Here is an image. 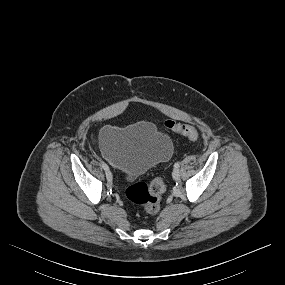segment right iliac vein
Segmentation results:
<instances>
[{
    "instance_id": "right-iliac-vein-1",
    "label": "right iliac vein",
    "mask_w": 285,
    "mask_h": 285,
    "mask_svg": "<svg viewBox=\"0 0 285 285\" xmlns=\"http://www.w3.org/2000/svg\"><path fill=\"white\" fill-rule=\"evenodd\" d=\"M106 178H107V180L108 181H111L112 180V178H113V176H112V173L109 171V170H106Z\"/></svg>"
}]
</instances>
